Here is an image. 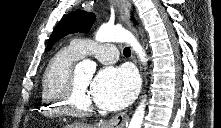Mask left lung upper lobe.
<instances>
[{
	"instance_id": "5c2ea615",
	"label": "left lung upper lobe",
	"mask_w": 221,
	"mask_h": 128,
	"mask_svg": "<svg viewBox=\"0 0 221 128\" xmlns=\"http://www.w3.org/2000/svg\"><path fill=\"white\" fill-rule=\"evenodd\" d=\"M94 20L95 16L92 13H88L83 10H77L68 14L55 27L48 41L47 49H50L57 40L67 34L76 32H89Z\"/></svg>"
}]
</instances>
